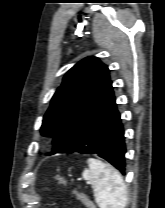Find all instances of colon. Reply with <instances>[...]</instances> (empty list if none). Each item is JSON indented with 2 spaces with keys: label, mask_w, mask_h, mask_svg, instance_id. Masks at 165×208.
<instances>
[{
  "label": "colon",
  "mask_w": 165,
  "mask_h": 208,
  "mask_svg": "<svg viewBox=\"0 0 165 208\" xmlns=\"http://www.w3.org/2000/svg\"><path fill=\"white\" fill-rule=\"evenodd\" d=\"M54 179L62 185L70 186L73 194L80 202H82L86 206V208H95L94 204L89 200L86 194L78 190L75 186L71 185L65 178L60 175H55Z\"/></svg>",
  "instance_id": "1"
}]
</instances>
